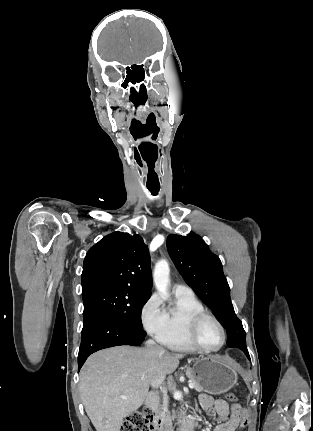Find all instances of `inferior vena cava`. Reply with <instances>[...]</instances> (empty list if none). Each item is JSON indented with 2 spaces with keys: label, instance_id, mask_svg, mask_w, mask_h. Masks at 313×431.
I'll return each instance as SVG.
<instances>
[{
  "label": "inferior vena cava",
  "instance_id": "1",
  "mask_svg": "<svg viewBox=\"0 0 313 431\" xmlns=\"http://www.w3.org/2000/svg\"><path fill=\"white\" fill-rule=\"evenodd\" d=\"M155 342L153 340H148L147 341V346H154ZM165 379L164 375H158L155 380L151 383V386L153 388H157ZM152 398V395H150V400ZM153 406L157 405L156 401H153ZM165 410V408H163ZM165 431H173L172 429V423L169 417H166V424H165Z\"/></svg>",
  "mask_w": 313,
  "mask_h": 431
}]
</instances>
